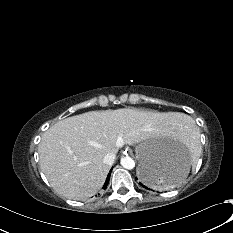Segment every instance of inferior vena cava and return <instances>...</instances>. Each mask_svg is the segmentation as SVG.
Here are the masks:
<instances>
[{
	"label": "inferior vena cava",
	"mask_w": 233,
	"mask_h": 233,
	"mask_svg": "<svg viewBox=\"0 0 233 233\" xmlns=\"http://www.w3.org/2000/svg\"><path fill=\"white\" fill-rule=\"evenodd\" d=\"M115 153H107L104 158H103V162L109 166L113 165L114 161H115Z\"/></svg>",
	"instance_id": "inferior-vena-cava-1"
}]
</instances>
